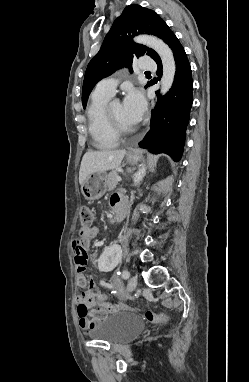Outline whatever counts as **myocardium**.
Returning a JSON list of instances; mask_svg holds the SVG:
<instances>
[{
	"label": "myocardium",
	"instance_id": "myocardium-1",
	"mask_svg": "<svg viewBox=\"0 0 249 382\" xmlns=\"http://www.w3.org/2000/svg\"><path fill=\"white\" fill-rule=\"evenodd\" d=\"M111 105L112 103L107 104L105 108V117H106L107 124L110 130L112 131V133L116 135L117 137H121V136H126L135 132L136 128H132V129L124 128L114 119L111 113Z\"/></svg>",
	"mask_w": 249,
	"mask_h": 382
}]
</instances>
